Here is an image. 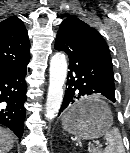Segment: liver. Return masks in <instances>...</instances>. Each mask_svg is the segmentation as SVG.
Returning a JSON list of instances; mask_svg holds the SVG:
<instances>
[{
  "label": "liver",
  "instance_id": "6515ba94",
  "mask_svg": "<svg viewBox=\"0 0 130 153\" xmlns=\"http://www.w3.org/2000/svg\"><path fill=\"white\" fill-rule=\"evenodd\" d=\"M14 144V135L11 131L0 127V153H8Z\"/></svg>",
  "mask_w": 130,
  "mask_h": 153
}]
</instances>
